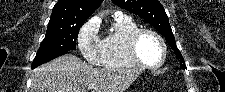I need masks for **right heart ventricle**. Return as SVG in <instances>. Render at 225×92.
Listing matches in <instances>:
<instances>
[{
  "label": "right heart ventricle",
  "mask_w": 225,
  "mask_h": 92,
  "mask_svg": "<svg viewBox=\"0 0 225 92\" xmlns=\"http://www.w3.org/2000/svg\"><path fill=\"white\" fill-rule=\"evenodd\" d=\"M139 28L130 16L114 17L113 31L103 39V64L109 69L136 68L127 51V41Z\"/></svg>",
  "instance_id": "obj_1"
}]
</instances>
